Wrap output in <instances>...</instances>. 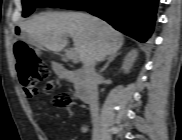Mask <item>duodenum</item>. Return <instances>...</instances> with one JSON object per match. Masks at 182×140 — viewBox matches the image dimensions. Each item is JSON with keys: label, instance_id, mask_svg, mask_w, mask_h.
Returning <instances> with one entry per match:
<instances>
[{"label": "duodenum", "instance_id": "duodenum-1", "mask_svg": "<svg viewBox=\"0 0 182 140\" xmlns=\"http://www.w3.org/2000/svg\"><path fill=\"white\" fill-rule=\"evenodd\" d=\"M72 77L78 83L76 90V96L82 103H88L91 99L90 90L86 85V80L84 75L81 72L75 71L72 72Z\"/></svg>", "mask_w": 182, "mask_h": 140}]
</instances>
